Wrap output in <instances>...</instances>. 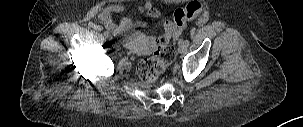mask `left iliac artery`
<instances>
[{
  "label": "left iliac artery",
  "mask_w": 303,
  "mask_h": 127,
  "mask_svg": "<svg viewBox=\"0 0 303 127\" xmlns=\"http://www.w3.org/2000/svg\"><path fill=\"white\" fill-rule=\"evenodd\" d=\"M185 42H186V45L187 46H189L190 45V41L187 39V40H185Z\"/></svg>",
  "instance_id": "1"
}]
</instances>
